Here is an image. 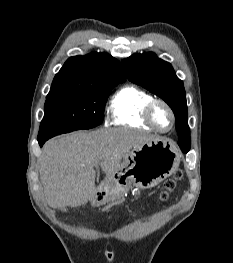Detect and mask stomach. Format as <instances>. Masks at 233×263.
<instances>
[{
	"label": "stomach",
	"instance_id": "1",
	"mask_svg": "<svg viewBox=\"0 0 233 263\" xmlns=\"http://www.w3.org/2000/svg\"><path fill=\"white\" fill-rule=\"evenodd\" d=\"M180 154L169 140L156 137L134 147L121 167L100 187L91 204L96 207L122 198L131 187L148 189L171 176L178 168Z\"/></svg>",
	"mask_w": 233,
	"mask_h": 263
}]
</instances>
